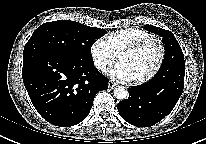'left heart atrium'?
Masks as SVG:
<instances>
[{
	"mask_svg": "<svg viewBox=\"0 0 206 144\" xmlns=\"http://www.w3.org/2000/svg\"><path fill=\"white\" fill-rule=\"evenodd\" d=\"M110 74L113 78L119 80V81H124V82H129L133 81L134 77L131 74L130 70L127 68L126 65L122 63H118L111 71Z\"/></svg>",
	"mask_w": 206,
	"mask_h": 144,
	"instance_id": "left-heart-atrium-1",
	"label": "left heart atrium"
}]
</instances>
